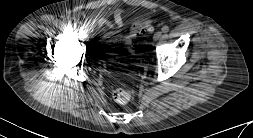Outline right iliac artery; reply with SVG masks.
Listing matches in <instances>:
<instances>
[{"label":"right iliac artery","mask_w":253,"mask_h":138,"mask_svg":"<svg viewBox=\"0 0 253 138\" xmlns=\"http://www.w3.org/2000/svg\"><path fill=\"white\" fill-rule=\"evenodd\" d=\"M77 28H78V26H77L76 24H72V25L70 26V29H71L72 31H76Z\"/></svg>","instance_id":"right-iliac-artery-1"}]
</instances>
